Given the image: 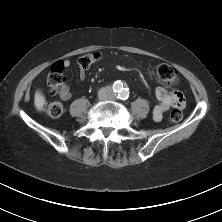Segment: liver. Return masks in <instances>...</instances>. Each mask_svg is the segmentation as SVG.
<instances>
[{"instance_id": "1", "label": "liver", "mask_w": 222, "mask_h": 222, "mask_svg": "<svg viewBox=\"0 0 222 222\" xmlns=\"http://www.w3.org/2000/svg\"><path fill=\"white\" fill-rule=\"evenodd\" d=\"M34 105L38 111H43L46 105V99L40 90L35 92Z\"/></svg>"}]
</instances>
